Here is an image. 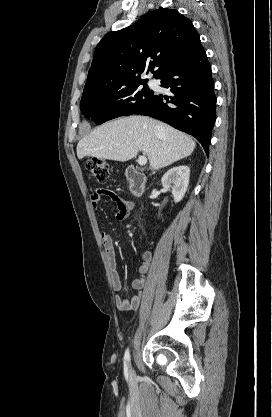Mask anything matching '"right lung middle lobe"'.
Wrapping results in <instances>:
<instances>
[{
  "label": "right lung middle lobe",
  "mask_w": 272,
  "mask_h": 417,
  "mask_svg": "<svg viewBox=\"0 0 272 417\" xmlns=\"http://www.w3.org/2000/svg\"><path fill=\"white\" fill-rule=\"evenodd\" d=\"M153 96L154 92L144 82L110 93L83 94L80 110L86 118H92L100 125L120 116L134 114Z\"/></svg>",
  "instance_id": "dd1d6c3e"
}]
</instances>
